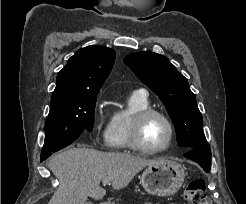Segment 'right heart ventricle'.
I'll return each mask as SVG.
<instances>
[{
	"instance_id": "e07e8e85",
	"label": "right heart ventricle",
	"mask_w": 246,
	"mask_h": 204,
	"mask_svg": "<svg viewBox=\"0 0 246 204\" xmlns=\"http://www.w3.org/2000/svg\"><path fill=\"white\" fill-rule=\"evenodd\" d=\"M150 108L147 95L133 93L125 109L117 110L111 116L106 144L110 149L123 150L131 148L129 133L134 115L142 110Z\"/></svg>"
}]
</instances>
